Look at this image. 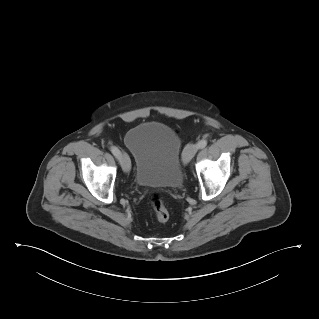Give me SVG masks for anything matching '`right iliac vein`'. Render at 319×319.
I'll use <instances>...</instances> for the list:
<instances>
[{
  "label": "right iliac vein",
  "mask_w": 319,
  "mask_h": 319,
  "mask_svg": "<svg viewBox=\"0 0 319 319\" xmlns=\"http://www.w3.org/2000/svg\"><path fill=\"white\" fill-rule=\"evenodd\" d=\"M120 164L124 172L128 173L131 169V163L128 155L124 152L120 153Z\"/></svg>",
  "instance_id": "obj_1"
}]
</instances>
